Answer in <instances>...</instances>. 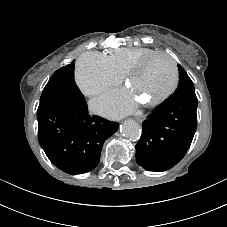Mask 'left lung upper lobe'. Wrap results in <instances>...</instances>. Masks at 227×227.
Returning <instances> with one entry per match:
<instances>
[{
  "instance_id": "left-lung-upper-lobe-1",
  "label": "left lung upper lobe",
  "mask_w": 227,
  "mask_h": 227,
  "mask_svg": "<svg viewBox=\"0 0 227 227\" xmlns=\"http://www.w3.org/2000/svg\"><path fill=\"white\" fill-rule=\"evenodd\" d=\"M180 71V82L175 93L170 97H181V96H195L194 85L192 80L189 78L186 71L179 66Z\"/></svg>"
}]
</instances>
